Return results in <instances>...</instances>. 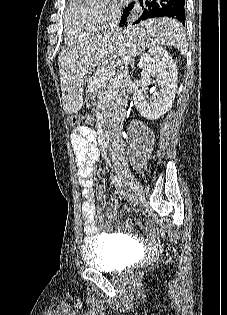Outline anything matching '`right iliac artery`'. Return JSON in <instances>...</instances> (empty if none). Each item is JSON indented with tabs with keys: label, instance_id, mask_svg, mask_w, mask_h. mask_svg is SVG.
<instances>
[{
	"label": "right iliac artery",
	"instance_id": "right-iliac-artery-1",
	"mask_svg": "<svg viewBox=\"0 0 227 315\" xmlns=\"http://www.w3.org/2000/svg\"><path fill=\"white\" fill-rule=\"evenodd\" d=\"M111 181H112V184H114L116 187H119V188L124 187V184H123L120 177L113 175V176H111Z\"/></svg>",
	"mask_w": 227,
	"mask_h": 315
}]
</instances>
